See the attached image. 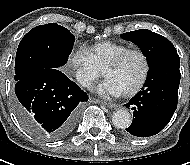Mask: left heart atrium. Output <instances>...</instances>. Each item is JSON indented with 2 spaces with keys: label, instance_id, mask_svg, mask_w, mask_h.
I'll return each instance as SVG.
<instances>
[{
  "label": "left heart atrium",
  "instance_id": "39dd6f15",
  "mask_svg": "<svg viewBox=\"0 0 190 165\" xmlns=\"http://www.w3.org/2000/svg\"><path fill=\"white\" fill-rule=\"evenodd\" d=\"M97 91L106 96H117L122 93L121 89L108 78L98 85Z\"/></svg>",
  "mask_w": 190,
  "mask_h": 165
}]
</instances>
